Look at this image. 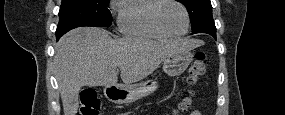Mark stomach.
Segmentation results:
<instances>
[{
    "label": "stomach",
    "instance_id": "0dacf381",
    "mask_svg": "<svg viewBox=\"0 0 285 115\" xmlns=\"http://www.w3.org/2000/svg\"><path fill=\"white\" fill-rule=\"evenodd\" d=\"M193 59L190 52H182L167 57L163 63V71L168 76H179ZM156 80H148L139 84L108 85L104 88L105 97L115 104H130L142 97L154 93L158 89Z\"/></svg>",
    "mask_w": 285,
    "mask_h": 115
}]
</instances>
